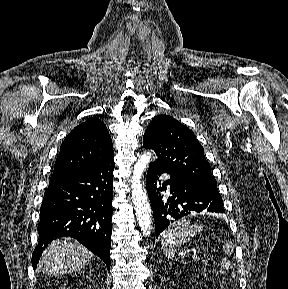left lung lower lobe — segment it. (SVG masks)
<instances>
[{"label": "left lung lower lobe", "instance_id": "1", "mask_svg": "<svg viewBox=\"0 0 288 289\" xmlns=\"http://www.w3.org/2000/svg\"><path fill=\"white\" fill-rule=\"evenodd\" d=\"M162 173L168 172L154 161L147 171L146 178L147 193L155 220L156 238L170 223L191 212L225 213L220 194L188 184L173 176L167 183H163L162 187H158L159 176ZM167 184L171 188V196L168 199L161 195L162 191H166Z\"/></svg>", "mask_w": 288, "mask_h": 289}]
</instances>
